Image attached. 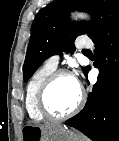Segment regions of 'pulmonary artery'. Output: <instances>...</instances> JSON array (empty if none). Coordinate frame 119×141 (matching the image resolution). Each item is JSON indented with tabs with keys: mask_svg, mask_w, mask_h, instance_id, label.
Returning a JSON list of instances; mask_svg holds the SVG:
<instances>
[{
	"mask_svg": "<svg viewBox=\"0 0 119 141\" xmlns=\"http://www.w3.org/2000/svg\"><path fill=\"white\" fill-rule=\"evenodd\" d=\"M91 45H92V43L89 40H85L82 42H77L76 48L77 49H84V48H89ZM46 63L53 66V67H57V65L59 63V56L53 55V56L49 57L47 59Z\"/></svg>",
	"mask_w": 119,
	"mask_h": 141,
	"instance_id": "obj_1",
	"label": "pulmonary artery"
}]
</instances>
